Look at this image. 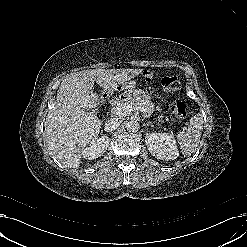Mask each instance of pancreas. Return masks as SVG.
<instances>
[{"label":"pancreas","instance_id":"pancreas-1","mask_svg":"<svg viewBox=\"0 0 247 247\" xmlns=\"http://www.w3.org/2000/svg\"><path fill=\"white\" fill-rule=\"evenodd\" d=\"M115 106L131 105L133 108H138L144 117H150L154 112V104L150 98L141 90H136L135 94L126 99H118L114 103Z\"/></svg>","mask_w":247,"mask_h":247}]
</instances>
